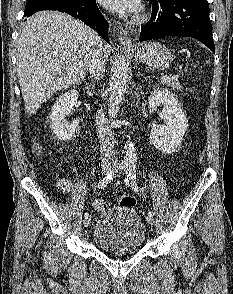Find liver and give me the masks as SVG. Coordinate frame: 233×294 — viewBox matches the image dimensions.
<instances>
[{"instance_id":"obj_1","label":"liver","mask_w":233,"mask_h":294,"mask_svg":"<svg viewBox=\"0 0 233 294\" xmlns=\"http://www.w3.org/2000/svg\"><path fill=\"white\" fill-rule=\"evenodd\" d=\"M100 41L91 28L57 11H41L27 20L18 40L17 73L29 116L57 91L81 83ZM110 51L103 45L105 56Z\"/></svg>"}]
</instances>
